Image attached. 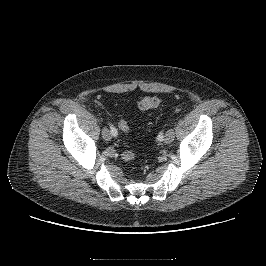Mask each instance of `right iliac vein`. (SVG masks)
Instances as JSON below:
<instances>
[{
  "mask_svg": "<svg viewBox=\"0 0 266 266\" xmlns=\"http://www.w3.org/2000/svg\"><path fill=\"white\" fill-rule=\"evenodd\" d=\"M102 136L105 140H110L111 139V133L107 128H104L102 130Z\"/></svg>",
  "mask_w": 266,
  "mask_h": 266,
  "instance_id": "obj_1",
  "label": "right iliac vein"
}]
</instances>
